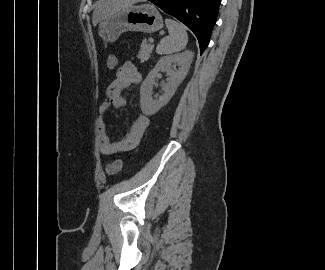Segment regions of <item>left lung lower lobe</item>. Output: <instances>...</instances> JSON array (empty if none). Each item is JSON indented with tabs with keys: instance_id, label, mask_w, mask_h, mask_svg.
<instances>
[{
	"instance_id": "left-lung-lower-lobe-1",
	"label": "left lung lower lobe",
	"mask_w": 325,
	"mask_h": 270,
	"mask_svg": "<svg viewBox=\"0 0 325 270\" xmlns=\"http://www.w3.org/2000/svg\"><path fill=\"white\" fill-rule=\"evenodd\" d=\"M184 23L197 37L200 53L206 49L221 0H149Z\"/></svg>"
}]
</instances>
